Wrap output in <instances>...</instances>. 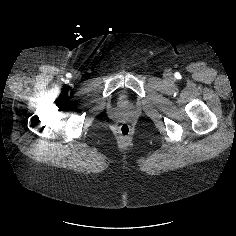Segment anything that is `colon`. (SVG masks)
Returning <instances> with one entry per match:
<instances>
[{
    "mask_svg": "<svg viewBox=\"0 0 236 236\" xmlns=\"http://www.w3.org/2000/svg\"><path fill=\"white\" fill-rule=\"evenodd\" d=\"M131 131H132L131 126L126 122L121 123L118 127L119 135L124 140H126L130 137Z\"/></svg>",
    "mask_w": 236,
    "mask_h": 236,
    "instance_id": "5ec220e1",
    "label": "colon"
}]
</instances>
